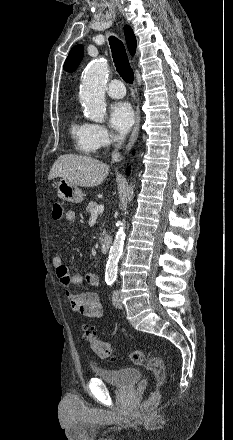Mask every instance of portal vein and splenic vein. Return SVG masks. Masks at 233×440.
Listing matches in <instances>:
<instances>
[{
	"mask_svg": "<svg viewBox=\"0 0 233 440\" xmlns=\"http://www.w3.org/2000/svg\"><path fill=\"white\" fill-rule=\"evenodd\" d=\"M103 210H104V205L100 204L94 209L92 214L93 215L100 214L101 212H103Z\"/></svg>",
	"mask_w": 233,
	"mask_h": 440,
	"instance_id": "obj_1",
	"label": "portal vein and splenic vein"
}]
</instances>
